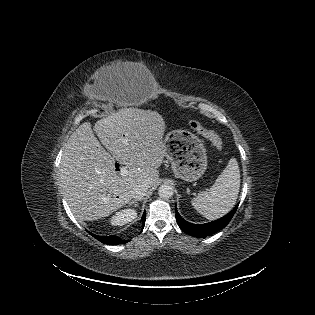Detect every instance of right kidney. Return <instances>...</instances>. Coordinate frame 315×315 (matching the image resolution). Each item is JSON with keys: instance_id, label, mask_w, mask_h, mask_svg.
<instances>
[{"instance_id": "right-kidney-1", "label": "right kidney", "mask_w": 315, "mask_h": 315, "mask_svg": "<svg viewBox=\"0 0 315 315\" xmlns=\"http://www.w3.org/2000/svg\"><path fill=\"white\" fill-rule=\"evenodd\" d=\"M137 217V212L134 209H124L117 212L110 220L112 225L123 226Z\"/></svg>"}]
</instances>
